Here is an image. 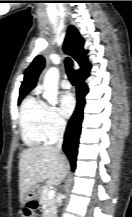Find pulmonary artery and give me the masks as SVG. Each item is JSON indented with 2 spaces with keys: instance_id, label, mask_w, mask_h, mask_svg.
Listing matches in <instances>:
<instances>
[{
  "instance_id": "obj_1",
  "label": "pulmonary artery",
  "mask_w": 132,
  "mask_h": 217,
  "mask_svg": "<svg viewBox=\"0 0 132 217\" xmlns=\"http://www.w3.org/2000/svg\"><path fill=\"white\" fill-rule=\"evenodd\" d=\"M60 85L63 89H70V87H71L70 82L67 79H63L60 82Z\"/></svg>"
}]
</instances>
